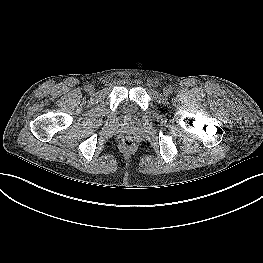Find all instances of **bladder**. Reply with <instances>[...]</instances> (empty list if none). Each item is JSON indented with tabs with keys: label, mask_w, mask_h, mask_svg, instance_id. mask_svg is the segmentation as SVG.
Returning <instances> with one entry per match:
<instances>
[{
	"label": "bladder",
	"mask_w": 263,
	"mask_h": 263,
	"mask_svg": "<svg viewBox=\"0 0 263 263\" xmlns=\"http://www.w3.org/2000/svg\"><path fill=\"white\" fill-rule=\"evenodd\" d=\"M125 113L127 115H134V112L131 109H129V108H126Z\"/></svg>",
	"instance_id": "31cf9c89"
}]
</instances>
